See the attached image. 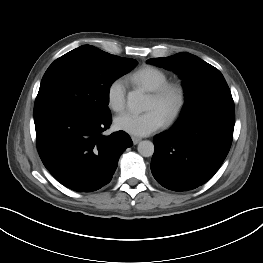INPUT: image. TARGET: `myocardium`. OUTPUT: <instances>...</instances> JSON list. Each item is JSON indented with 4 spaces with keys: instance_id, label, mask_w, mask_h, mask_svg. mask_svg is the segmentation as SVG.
Instances as JSON below:
<instances>
[{
    "instance_id": "obj_1",
    "label": "myocardium",
    "mask_w": 263,
    "mask_h": 263,
    "mask_svg": "<svg viewBox=\"0 0 263 263\" xmlns=\"http://www.w3.org/2000/svg\"><path fill=\"white\" fill-rule=\"evenodd\" d=\"M151 96L161 105L171 102L166 110L164 121L166 124L173 123L182 113L187 102V91L183 84L167 82L159 88L151 91Z\"/></svg>"
}]
</instances>
